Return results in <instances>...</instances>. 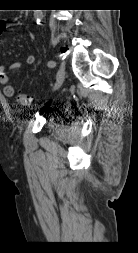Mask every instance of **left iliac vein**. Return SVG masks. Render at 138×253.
<instances>
[{
  "mask_svg": "<svg viewBox=\"0 0 138 253\" xmlns=\"http://www.w3.org/2000/svg\"><path fill=\"white\" fill-rule=\"evenodd\" d=\"M65 79V67L63 64H60L57 75H56V83L54 89H58L62 86Z\"/></svg>",
  "mask_w": 138,
  "mask_h": 253,
  "instance_id": "1",
  "label": "left iliac vein"
}]
</instances>
